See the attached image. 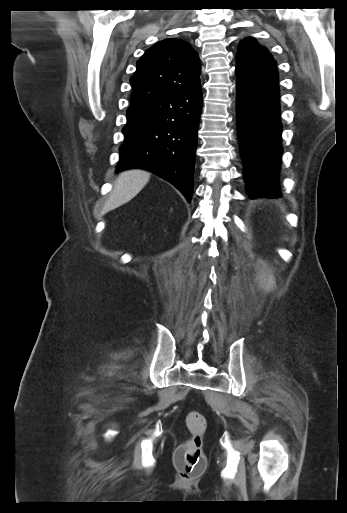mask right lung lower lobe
<instances>
[{"instance_id":"obj_1","label":"right lung lower lobe","mask_w":347,"mask_h":513,"mask_svg":"<svg viewBox=\"0 0 347 513\" xmlns=\"http://www.w3.org/2000/svg\"><path fill=\"white\" fill-rule=\"evenodd\" d=\"M201 109V88L131 105L116 171L142 168L154 172L190 202Z\"/></svg>"}]
</instances>
